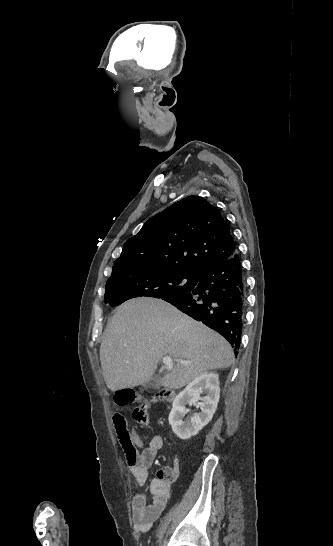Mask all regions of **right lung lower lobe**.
I'll list each match as a JSON object with an SVG mask.
<instances>
[{
	"label": "right lung lower lobe",
	"instance_id": "98d812e1",
	"mask_svg": "<svg viewBox=\"0 0 333 546\" xmlns=\"http://www.w3.org/2000/svg\"><path fill=\"white\" fill-rule=\"evenodd\" d=\"M161 299L225 337L238 354L245 316V279L237 252L206 268L186 294Z\"/></svg>",
	"mask_w": 333,
	"mask_h": 546
}]
</instances>
